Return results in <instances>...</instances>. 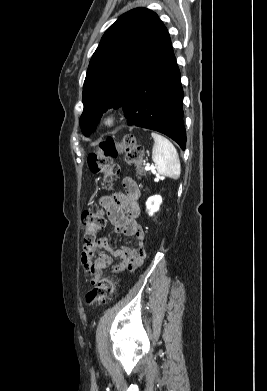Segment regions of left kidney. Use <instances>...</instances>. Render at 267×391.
Returning a JSON list of instances; mask_svg holds the SVG:
<instances>
[{
	"instance_id": "obj_1",
	"label": "left kidney",
	"mask_w": 267,
	"mask_h": 391,
	"mask_svg": "<svg viewBox=\"0 0 267 391\" xmlns=\"http://www.w3.org/2000/svg\"><path fill=\"white\" fill-rule=\"evenodd\" d=\"M162 203V198L159 195L151 196L146 201V208L149 215H153L159 210L160 204Z\"/></svg>"
}]
</instances>
